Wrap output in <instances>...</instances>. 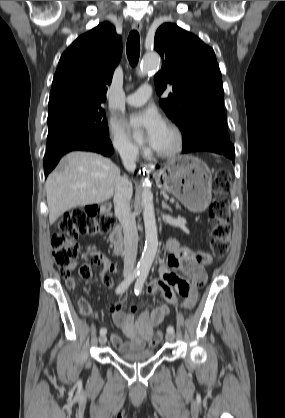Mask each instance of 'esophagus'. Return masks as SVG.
Segmentation results:
<instances>
[{"label":"esophagus","mask_w":285,"mask_h":418,"mask_svg":"<svg viewBox=\"0 0 285 418\" xmlns=\"http://www.w3.org/2000/svg\"><path fill=\"white\" fill-rule=\"evenodd\" d=\"M132 28L134 30L140 31L142 29V23L139 20H137V21L132 23ZM144 168L147 169L148 171H151L155 168V164L154 163H148V164L145 165Z\"/></svg>","instance_id":"34e87169"}]
</instances>
